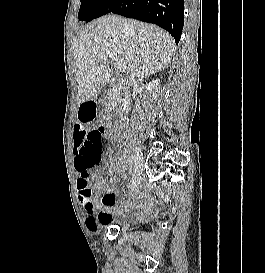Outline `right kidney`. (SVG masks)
I'll list each match as a JSON object with an SVG mask.
<instances>
[{"label":"right kidney","mask_w":265,"mask_h":273,"mask_svg":"<svg viewBox=\"0 0 265 273\" xmlns=\"http://www.w3.org/2000/svg\"><path fill=\"white\" fill-rule=\"evenodd\" d=\"M158 85H159V80H154L147 85L146 90L151 93L154 89L158 88Z\"/></svg>","instance_id":"ca27d5eb"}]
</instances>
